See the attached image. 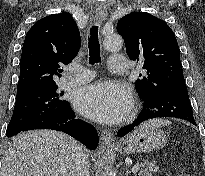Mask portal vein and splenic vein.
<instances>
[{"mask_svg": "<svg viewBox=\"0 0 205 176\" xmlns=\"http://www.w3.org/2000/svg\"><path fill=\"white\" fill-rule=\"evenodd\" d=\"M138 170H139L138 165H135V166L132 168V172H133V173H137Z\"/></svg>", "mask_w": 205, "mask_h": 176, "instance_id": "obj_1", "label": "portal vein and splenic vein"}]
</instances>
